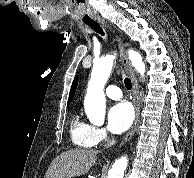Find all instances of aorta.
<instances>
[{
  "label": "aorta",
  "mask_w": 194,
  "mask_h": 178,
  "mask_svg": "<svg viewBox=\"0 0 194 178\" xmlns=\"http://www.w3.org/2000/svg\"><path fill=\"white\" fill-rule=\"evenodd\" d=\"M129 59L133 67L144 77L145 64L141 55L134 51H128ZM114 62L113 55H107L93 65L91 78L84 99V108L88 119L93 124H102L105 120V94L104 86L110 76ZM128 165V158H118L108 172V178H124V172Z\"/></svg>",
  "instance_id": "762f6f07"
}]
</instances>
